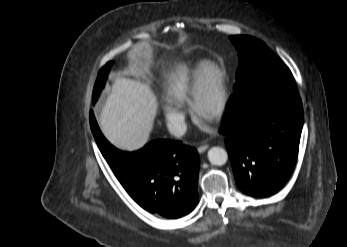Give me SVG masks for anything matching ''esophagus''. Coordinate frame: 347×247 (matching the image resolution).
<instances>
[{
  "instance_id": "34e87169",
  "label": "esophagus",
  "mask_w": 347,
  "mask_h": 247,
  "mask_svg": "<svg viewBox=\"0 0 347 247\" xmlns=\"http://www.w3.org/2000/svg\"><path fill=\"white\" fill-rule=\"evenodd\" d=\"M208 147H209L208 144L201 145L197 148V151L201 154V153L205 152L208 149Z\"/></svg>"
}]
</instances>
